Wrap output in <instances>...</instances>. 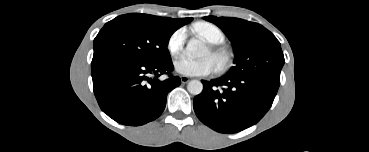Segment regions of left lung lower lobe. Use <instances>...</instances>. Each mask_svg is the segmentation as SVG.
<instances>
[{
  "mask_svg": "<svg viewBox=\"0 0 369 152\" xmlns=\"http://www.w3.org/2000/svg\"><path fill=\"white\" fill-rule=\"evenodd\" d=\"M202 83L203 91L193 100L199 120L217 132L236 133L256 124L266 114L280 80L224 75Z\"/></svg>",
  "mask_w": 369,
  "mask_h": 152,
  "instance_id": "left-lung-lower-lobe-1",
  "label": "left lung lower lobe"
}]
</instances>
